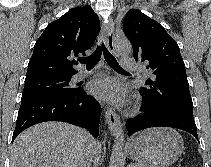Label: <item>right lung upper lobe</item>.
Returning <instances> with one entry per match:
<instances>
[{
    "label": "right lung upper lobe",
    "instance_id": "1",
    "mask_svg": "<svg viewBox=\"0 0 211 167\" xmlns=\"http://www.w3.org/2000/svg\"><path fill=\"white\" fill-rule=\"evenodd\" d=\"M99 30L98 16L90 6L72 8L51 22L35 43L25 81L76 74L73 65L93 45Z\"/></svg>",
    "mask_w": 211,
    "mask_h": 167
}]
</instances>
